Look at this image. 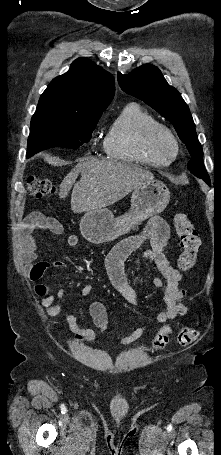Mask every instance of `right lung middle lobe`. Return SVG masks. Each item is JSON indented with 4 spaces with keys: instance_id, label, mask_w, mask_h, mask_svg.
Wrapping results in <instances>:
<instances>
[{
    "instance_id": "1",
    "label": "right lung middle lobe",
    "mask_w": 221,
    "mask_h": 455,
    "mask_svg": "<svg viewBox=\"0 0 221 455\" xmlns=\"http://www.w3.org/2000/svg\"><path fill=\"white\" fill-rule=\"evenodd\" d=\"M102 112L88 115L60 114L36 109L31 120L27 157L50 148L76 149L87 143Z\"/></svg>"
}]
</instances>
